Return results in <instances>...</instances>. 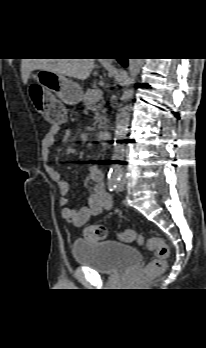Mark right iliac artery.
I'll return each instance as SVG.
<instances>
[{
  "label": "right iliac artery",
  "instance_id": "right-iliac-artery-1",
  "mask_svg": "<svg viewBox=\"0 0 206 348\" xmlns=\"http://www.w3.org/2000/svg\"><path fill=\"white\" fill-rule=\"evenodd\" d=\"M121 171L118 168L111 169L108 174V188L110 191H113L117 188V183L121 179Z\"/></svg>",
  "mask_w": 206,
  "mask_h": 348
}]
</instances>
